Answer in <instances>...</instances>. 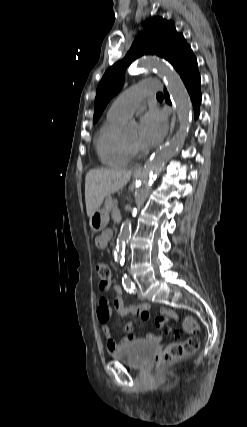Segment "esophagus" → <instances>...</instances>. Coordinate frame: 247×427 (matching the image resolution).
Masks as SVG:
<instances>
[{"label": "esophagus", "instance_id": "34e87169", "mask_svg": "<svg viewBox=\"0 0 247 427\" xmlns=\"http://www.w3.org/2000/svg\"><path fill=\"white\" fill-rule=\"evenodd\" d=\"M175 122H176V115H175V111L173 109L172 117H171V123H170V132H169V136L168 137L171 136V134H172V132L174 130ZM134 172L135 173H141L142 172V166L139 165V166L135 167L134 168Z\"/></svg>", "mask_w": 247, "mask_h": 427}]
</instances>
